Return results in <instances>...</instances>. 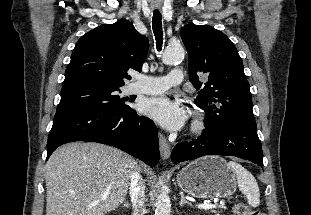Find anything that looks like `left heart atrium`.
I'll return each mask as SVG.
<instances>
[{"label": "left heart atrium", "instance_id": "left-heart-atrium-1", "mask_svg": "<svg viewBox=\"0 0 311 215\" xmlns=\"http://www.w3.org/2000/svg\"><path fill=\"white\" fill-rule=\"evenodd\" d=\"M141 112L169 131L180 130L187 120V111L181 102L164 95L145 100Z\"/></svg>", "mask_w": 311, "mask_h": 215}]
</instances>
